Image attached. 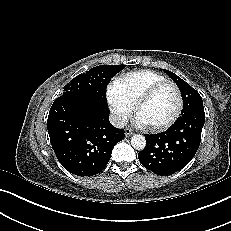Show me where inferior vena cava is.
Wrapping results in <instances>:
<instances>
[{"instance_id":"602c4592","label":"inferior vena cava","mask_w":231,"mask_h":231,"mask_svg":"<svg viewBox=\"0 0 231 231\" xmlns=\"http://www.w3.org/2000/svg\"><path fill=\"white\" fill-rule=\"evenodd\" d=\"M128 120L121 117L118 114L110 115V123L116 128H124L127 125Z\"/></svg>"}]
</instances>
